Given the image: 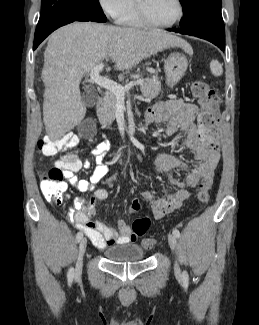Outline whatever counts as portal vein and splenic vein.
<instances>
[{
    "label": "portal vein and splenic vein",
    "mask_w": 259,
    "mask_h": 325,
    "mask_svg": "<svg viewBox=\"0 0 259 325\" xmlns=\"http://www.w3.org/2000/svg\"><path fill=\"white\" fill-rule=\"evenodd\" d=\"M103 67L104 64L102 62L97 64L90 72V79L99 86L104 87L105 89L114 93L117 99L124 100L125 92L127 90H129L134 85L142 84L144 81V79H138L136 81H131L125 86H122L113 80L100 76L99 73L103 69Z\"/></svg>",
    "instance_id": "portal-vein-and-splenic-vein-1"
}]
</instances>
